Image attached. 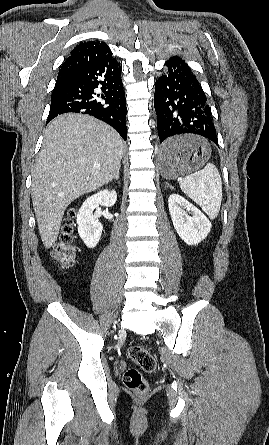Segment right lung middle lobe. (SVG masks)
Segmentation results:
<instances>
[{"instance_id":"1","label":"right lung middle lobe","mask_w":269,"mask_h":445,"mask_svg":"<svg viewBox=\"0 0 269 445\" xmlns=\"http://www.w3.org/2000/svg\"><path fill=\"white\" fill-rule=\"evenodd\" d=\"M58 95H59V92H58V90H57V89H54V90H53V92H52V96H51V99H53V98L57 97Z\"/></svg>"}]
</instances>
